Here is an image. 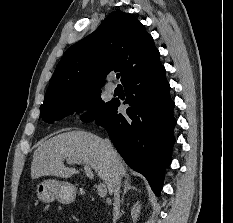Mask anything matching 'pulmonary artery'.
Segmentation results:
<instances>
[{
  "label": "pulmonary artery",
  "instance_id": "pulmonary-artery-1",
  "mask_svg": "<svg viewBox=\"0 0 233 223\" xmlns=\"http://www.w3.org/2000/svg\"><path fill=\"white\" fill-rule=\"evenodd\" d=\"M110 79H112V78H110ZM115 88H116V86L113 83H108L107 90L109 92L113 93L115 91Z\"/></svg>",
  "mask_w": 233,
  "mask_h": 223
}]
</instances>
